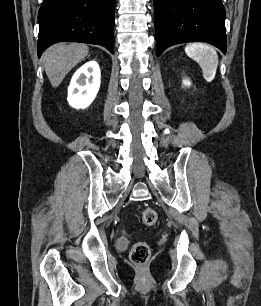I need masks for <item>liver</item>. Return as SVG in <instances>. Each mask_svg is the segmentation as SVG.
<instances>
[{"instance_id": "1", "label": "liver", "mask_w": 261, "mask_h": 306, "mask_svg": "<svg viewBox=\"0 0 261 306\" xmlns=\"http://www.w3.org/2000/svg\"><path fill=\"white\" fill-rule=\"evenodd\" d=\"M88 52V46L81 43H57L49 47L42 56V62L51 85L58 87L68 72L82 61Z\"/></svg>"}]
</instances>
